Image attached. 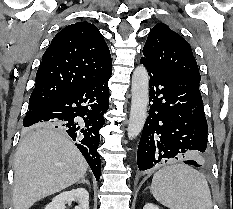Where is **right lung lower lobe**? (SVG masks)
Instances as JSON below:
<instances>
[{
    "label": "right lung lower lobe",
    "mask_w": 233,
    "mask_h": 209,
    "mask_svg": "<svg viewBox=\"0 0 233 209\" xmlns=\"http://www.w3.org/2000/svg\"><path fill=\"white\" fill-rule=\"evenodd\" d=\"M111 73L80 89L61 94L27 112L25 127L52 123L75 141L97 180L101 174V160L97 152L99 130L104 125V113L109 108L108 81Z\"/></svg>",
    "instance_id": "98d812e1"
}]
</instances>
